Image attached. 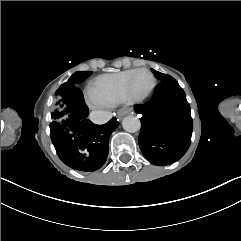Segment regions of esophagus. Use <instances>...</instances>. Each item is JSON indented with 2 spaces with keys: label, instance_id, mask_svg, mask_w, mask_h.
<instances>
[{
  "label": "esophagus",
  "instance_id": "obj_1",
  "mask_svg": "<svg viewBox=\"0 0 241 241\" xmlns=\"http://www.w3.org/2000/svg\"><path fill=\"white\" fill-rule=\"evenodd\" d=\"M132 112H133V109H132L131 107H129V108H126V109H124V110L119 111L117 116H118L119 118H121V117H123V116H125V115H127V114L132 113Z\"/></svg>",
  "mask_w": 241,
  "mask_h": 241
}]
</instances>
